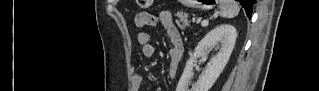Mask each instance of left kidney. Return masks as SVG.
Returning a JSON list of instances; mask_svg holds the SVG:
<instances>
[{
  "instance_id": "5707ae66",
  "label": "left kidney",
  "mask_w": 319,
  "mask_h": 91,
  "mask_svg": "<svg viewBox=\"0 0 319 91\" xmlns=\"http://www.w3.org/2000/svg\"><path fill=\"white\" fill-rule=\"evenodd\" d=\"M236 37V29L229 24H223L208 32L200 40L194 53L186 62L176 91H209L228 62L235 46ZM216 44H218L217 54L207 64L204 74L197 82L192 83L193 67L197 59L206 56ZM190 85H192L191 89H189Z\"/></svg>"
}]
</instances>
